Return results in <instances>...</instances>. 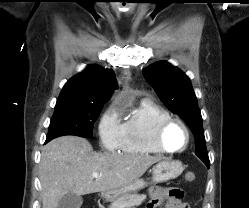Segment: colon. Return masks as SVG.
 Instances as JSON below:
<instances>
[{
    "label": "colon",
    "mask_w": 249,
    "mask_h": 208,
    "mask_svg": "<svg viewBox=\"0 0 249 208\" xmlns=\"http://www.w3.org/2000/svg\"><path fill=\"white\" fill-rule=\"evenodd\" d=\"M185 180L189 183L193 182L195 180V174L194 173L186 174Z\"/></svg>",
    "instance_id": "1"
}]
</instances>
